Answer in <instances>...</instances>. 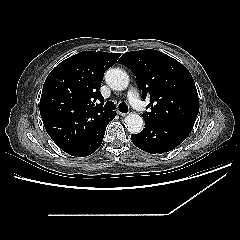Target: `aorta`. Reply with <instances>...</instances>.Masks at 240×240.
Masks as SVG:
<instances>
[{"instance_id":"1","label":"aorta","mask_w":240,"mask_h":240,"mask_svg":"<svg viewBox=\"0 0 240 240\" xmlns=\"http://www.w3.org/2000/svg\"><path fill=\"white\" fill-rule=\"evenodd\" d=\"M106 83L116 91H122L129 85V77L125 71L119 68H111L105 73ZM125 127L131 134H138L143 129L144 120L136 114L130 113L125 117Z\"/></svg>"}]
</instances>
